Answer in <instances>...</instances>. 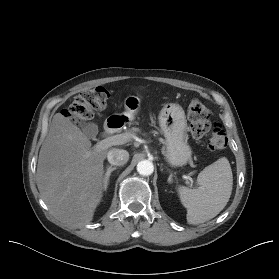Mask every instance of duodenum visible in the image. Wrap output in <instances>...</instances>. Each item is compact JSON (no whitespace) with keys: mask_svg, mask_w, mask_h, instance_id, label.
<instances>
[{"mask_svg":"<svg viewBox=\"0 0 279 279\" xmlns=\"http://www.w3.org/2000/svg\"><path fill=\"white\" fill-rule=\"evenodd\" d=\"M122 121L119 117H111L107 120L104 131L106 134H113L115 133L119 127H121Z\"/></svg>","mask_w":279,"mask_h":279,"instance_id":"obj_1","label":"duodenum"}]
</instances>
